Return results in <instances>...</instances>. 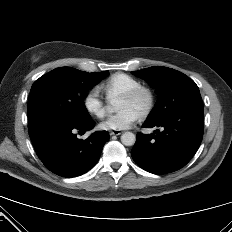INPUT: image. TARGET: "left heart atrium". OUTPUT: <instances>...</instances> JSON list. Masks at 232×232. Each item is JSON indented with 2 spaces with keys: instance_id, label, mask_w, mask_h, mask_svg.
Masks as SVG:
<instances>
[{
  "instance_id": "obj_1",
  "label": "left heart atrium",
  "mask_w": 232,
  "mask_h": 232,
  "mask_svg": "<svg viewBox=\"0 0 232 232\" xmlns=\"http://www.w3.org/2000/svg\"><path fill=\"white\" fill-rule=\"evenodd\" d=\"M139 118L140 114L136 111L124 109L108 117L100 126L103 130H125L130 128Z\"/></svg>"
}]
</instances>
